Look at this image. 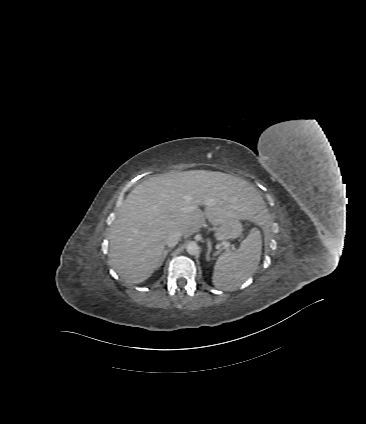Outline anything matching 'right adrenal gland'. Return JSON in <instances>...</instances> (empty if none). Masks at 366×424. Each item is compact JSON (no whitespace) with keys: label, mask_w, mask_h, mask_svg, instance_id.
I'll return each instance as SVG.
<instances>
[{"label":"right adrenal gland","mask_w":366,"mask_h":424,"mask_svg":"<svg viewBox=\"0 0 366 424\" xmlns=\"http://www.w3.org/2000/svg\"><path fill=\"white\" fill-rule=\"evenodd\" d=\"M171 250H172V249H171V248H169V249H166V250L164 251V253H163V255H162V258H161V260H160V262H159V264H158V267H160V266L163 264V262H164V260H165L166 256L168 255V253H169Z\"/></svg>","instance_id":"2a0ac1e0"}]
</instances>
